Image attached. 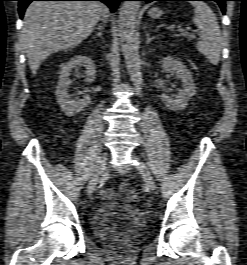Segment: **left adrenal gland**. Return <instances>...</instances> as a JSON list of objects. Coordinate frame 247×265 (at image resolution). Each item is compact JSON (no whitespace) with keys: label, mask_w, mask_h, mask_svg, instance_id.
Masks as SVG:
<instances>
[{"label":"left adrenal gland","mask_w":247,"mask_h":265,"mask_svg":"<svg viewBox=\"0 0 247 265\" xmlns=\"http://www.w3.org/2000/svg\"><path fill=\"white\" fill-rule=\"evenodd\" d=\"M154 38H155V36H152V37L150 36L149 31L146 32V44H147V45L150 44L151 41H152Z\"/></svg>","instance_id":"a2214340"}]
</instances>
